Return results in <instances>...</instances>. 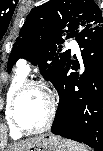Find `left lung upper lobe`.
I'll list each match as a JSON object with an SVG mask.
<instances>
[{
  "label": "left lung upper lobe",
  "mask_w": 103,
  "mask_h": 151,
  "mask_svg": "<svg viewBox=\"0 0 103 151\" xmlns=\"http://www.w3.org/2000/svg\"><path fill=\"white\" fill-rule=\"evenodd\" d=\"M90 27L103 28L102 13L93 0H50L33 8L13 45L7 69L19 58L37 64L45 80L54 82L70 59L64 39Z\"/></svg>",
  "instance_id": "1"
}]
</instances>
